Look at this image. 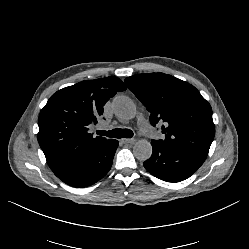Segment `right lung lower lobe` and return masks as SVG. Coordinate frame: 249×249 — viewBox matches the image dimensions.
I'll return each mask as SVG.
<instances>
[{
    "instance_id": "obj_1",
    "label": "right lung lower lobe",
    "mask_w": 249,
    "mask_h": 249,
    "mask_svg": "<svg viewBox=\"0 0 249 249\" xmlns=\"http://www.w3.org/2000/svg\"><path fill=\"white\" fill-rule=\"evenodd\" d=\"M118 141L107 140L97 150L77 159L71 164L54 171L55 175L74 187L90 186L103 178L110 170Z\"/></svg>"
}]
</instances>
